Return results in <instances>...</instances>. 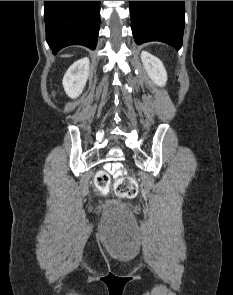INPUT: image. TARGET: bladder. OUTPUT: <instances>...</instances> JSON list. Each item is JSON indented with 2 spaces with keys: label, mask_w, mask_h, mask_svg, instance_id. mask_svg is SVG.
Segmentation results:
<instances>
[{
  "label": "bladder",
  "mask_w": 233,
  "mask_h": 295,
  "mask_svg": "<svg viewBox=\"0 0 233 295\" xmlns=\"http://www.w3.org/2000/svg\"><path fill=\"white\" fill-rule=\"evenodd\" d=\"M107 214L114 217H128L123 206L117 201H109L104 205Z\"/></svg>",
  "instance_id": "bladder-1"
}]
</instances>
